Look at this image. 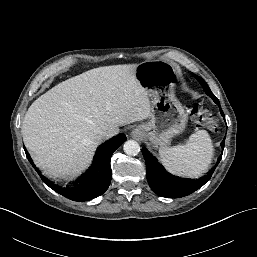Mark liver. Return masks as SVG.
I'll return each mask as SVG.
<instances>
[{
    "label": "liver",
    "mask_w": 257,
    "mask_h": 257,
    "mask_svg": "<svg viewBox=\"0 0 257 257\" xmlns=\"http://www.w3.org/2000/svg\"><path fill=\"white\" fill-rule=\"evenodd\" d=\"M135 69V64L94 68L36 99L21 126L35 165L50 178H74L91 162L101 132L148 118V92Z\"/></svg>",
    "instance_id": "6515ba94"
}]
</instances>
